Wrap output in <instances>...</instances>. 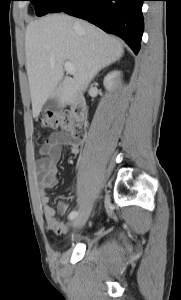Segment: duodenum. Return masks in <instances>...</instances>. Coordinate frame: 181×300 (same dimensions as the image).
I'll list each match as a JSON object with an SVG mask.
<instances>
[{
    "instance_id": "410a0bca",
    "label": "duodenum",
    "mask_w": 181,
    "mask_h": 300,
    "mask_svg": "<svg viewBox=\"0 0 181 300\" xmlns=\"http://www.w3.org/2000/svg\"><path fill=\"white\" fill-rule=\"evenodd\" d=\"M86 104L80 96H76L71 103V115L77 122H83L86 115Z\"/></svg>"
}]
</instances>
